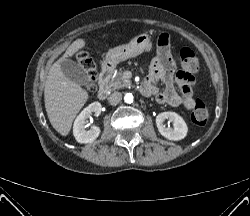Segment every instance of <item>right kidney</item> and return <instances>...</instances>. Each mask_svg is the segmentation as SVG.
Segmentation results:
<instances>
[{"label":"right kidney","mask_w":250,"mask_h":216,"mask_svg":"<svg viewBox=\"0 0 250 216\" xmlns=\"http://www.w3.org/2000/svg\"><path fill=\"white\" fill-rule=\"evenodd\" d=\"M101 107L102 106L99 102H93L77 116L73 125V135L77 142L90 143L100 135L101 131L99 127L91 126V128L87 130L85 123L92 113L99 116L101 113Z\"/></svg>","instance_id":"right-kidney-1"}]
</instances>
